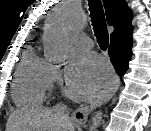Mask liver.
Wrapping results in <instances>:
<instances>
[{
	"label": "liver",
	"instance_id": "6515ba94",
	"mask_svg": "<svg viewBox=\"0 0 151 131\" xmlns=\"http://www.w3.org/2000/svg\"><path fill=\"white\" fill-rule=\"evenodd\" d=\"M60 107L19 109L8 119L7 131H74L73 124L66 120Z\"/></svg>",
	"mask_w": 151,
	"mask_h": 131
}]
</instances>
